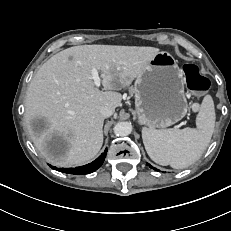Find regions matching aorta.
<instances>
[{
    "label": "aorta",
    "mask_w": 231,
    "mask_h": 231,
    "mask_svg": "<svg viewBox=\"0 0 231 231\" xmlns=\"http://www.w3.org/2000/svg\"><path fill=\"white\" fill-rule=\"evenodd\" d=\"M113 130L116 136L124 137L131 133L132 125L129 122H119L114 126Z\"/></svg>",
    "instance_id": "aorta-1"
}]
</instances>
